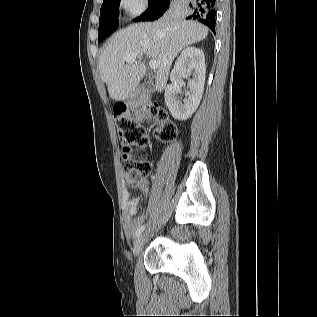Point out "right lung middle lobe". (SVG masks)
<instances>
[{
	"instance_id": "right-lung-middle-lobe-1",
	"label": "right lung middle lobe",
	"mask_w": 317,
	"mask_h": 317,
	"mask_svg": "<svg viewBox=\"0 0 317 317\" xmlns=\"http://www.w3.org/2000/svg\"><path fill=\"white\" fill-rule=\"evenodd\" d=\"M161 0H149V6L145 13H143L136 21H141L147 14H149ZM180 0H172L171 7L174 8ZM120 0H103L100 9V24L98 29V41L104 40L110 33H112L118 26V7Z\"/></svg>"
}]
</instances>
